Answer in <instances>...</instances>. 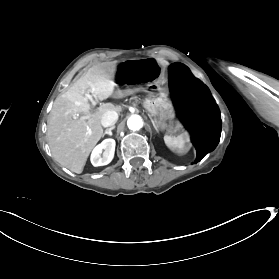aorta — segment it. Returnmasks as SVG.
I'll use <instances>...</instances> for the list:
<instances>
[{
    "mask_svg": "<svg viewBox=\"0 0 279 279\" xmlns=\"http://www.w3.org/2000/svg\"><path fill=\"white\" fill-rule=\"evenodd\" d=\"M127 126L131 130H139L143 126L142 118L139 115L131 116L127 121Z\"/></svg>",
    "mask_w": 279,
    "mask_h": 279,
    "instance_id": "aorta-1",
    "label": "aorta"
}]
</instances>
